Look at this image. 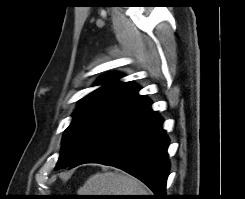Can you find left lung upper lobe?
<instances>
[{
  "mask_svg": "<svg viewBox=\"0 0 245 199\" xmlns=\"http://www.w3.org/2000/svg\"><path fill=\"white\" fill-rule=\"evenodd\" d=\"M120 78L118 74L103 77L97 84L104 85L81 100L64 134L55 169L70 166L108 122L141 97L137 85L117 81Z\"/></svg>",
  "mask_w": 245,
  "mask_h": 199,
  "instance_id": "left-lung-upper-lobe-1",
  "label": "left lung upper lobe"
}]
</instances>
